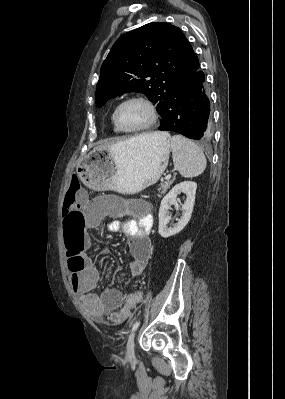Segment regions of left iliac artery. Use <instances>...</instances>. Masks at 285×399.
Listing matches in <instances>:
<instances>
[{
    "label": "left iliac artery",
    "instance_id": "1",
    "mask_svg": "<svg viewBox=\"0 0 285 399\" xmlns=\"http://www.w3.org/2000/svg\"><path fill=\"white\" fill-rule=\"evenodd\" d=\"M139 324H140V321H136L132 327V331H135L138 328Z\"/></svg>",
    "mask_w": 285,
    "mask_h": 399
}]
</instances>
